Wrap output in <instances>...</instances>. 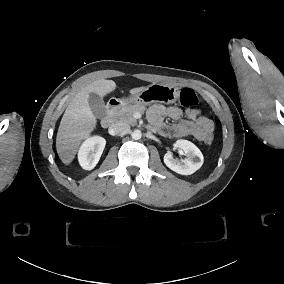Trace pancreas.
<instances>
[{"label": "pancreas", "instance_id": "1", "mask_svg": "<svg viewBox=\"0 0 284 284\" xmlns=\"http://www.w3.org/2000/svg\"><path fill=\"white\" fill-rule=\"evenodd\" d=\"M146 110L144 105H126L116 112V119L123 121L131 126L137 125V120L133 117L135 112L143 114Z\"/></svg>", "mask_w": 284, "mask_h": 284}]
</instances>
